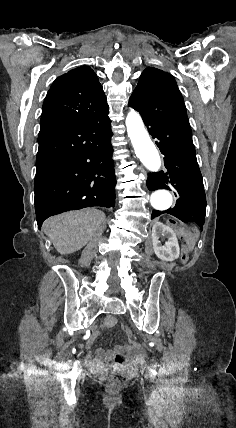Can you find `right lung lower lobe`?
<instances>
[{
    "label": "right lung lower lobe",
    "mask_w": 236,
    "mask_h": 428,
    "mask_svg": "<svg viewBox=\"0 0 236 428\" xmlns=\"http://www.w3.org/2000/svg\"><path fill=\"white\" fill-rule=\"evenodd\" d=\"M108 112L85 123L39 134L34 182L38 226L45 219L85 207L115 206Z\"/></svg>",
    "instance_id": "98d812e1"
}]
</instances>
